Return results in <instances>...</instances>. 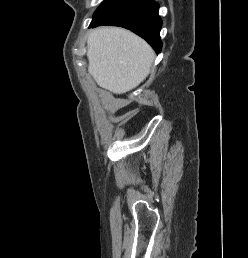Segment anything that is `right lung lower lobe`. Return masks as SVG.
<instances>
[{
	"label": "right lung lower lobe",
	"instance_id": "obj_1",
	"mask_svg": "<svg viewBox=\"0 0 248 258\" xmlns=\"http://www.w3.org/2000/svg\"><path fill=\"white\" fill-rule=\"evenodd\" d=\"M159 4L153 0H119L90 27L101 25L120 26L144 38L159 53L162 48L160 29L162 20L158 15Z\"/></svg>",
	"mask_w": 248,
	"mask_h": 258
}]
</instances>
